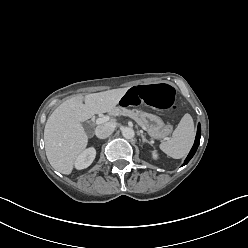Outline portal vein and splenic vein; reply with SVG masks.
I'll return each instance as SVG.
<instances>
[{
	"label": "portal vein and splenic vein",
	"instance_id": "1",
	"mask_svg": "<svg viewBox=\"0 0 248 248\" xmlns=\"http://www.w3.org/2000/svg\"><path fill=\"white\" fill-rule=\"evenodd\" d=\"M109 120V116H103V117H100L98 119H96V124H102V123H105Z\"/></svg>",
	"mask_w": 248,
	"mask_h": 248
}]
</instances>
